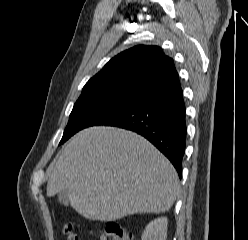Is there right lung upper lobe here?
<instances>
[{"mask_svg":"<svg viewBox=\"0 0 248 240\" xmlns=\"http://www.w3.org/2000/svg\"><path fill=\"white\" fill-rule=\"evenodd\" d=\"M178 86L173 59L160 47L138 45L112 58L83 90L111 89L142 99Z\"/></svg>","mask_w":248,"mask_h":240,"instance_id":"obj_1","label":"right lung upper lobe"}]
</instances>
